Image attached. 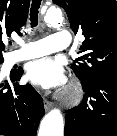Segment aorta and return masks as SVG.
<instances>
[{"label":"aorta","instance_id":"obj_1","mask_svg":"<svg viewBox=\"0 0 117 136\" xmlns=\"http://www.w3.org/2000/svg\"><path fill=\"white\" fill-rule=\"evenodd\" d=\"M44 19L48 24L57 26L63 22L62 12L57 8H50ZM38 136H64V118L59 109H52L44 116Z\"/></svg>","mask_w":117,"mask_h":136}]
</instances>
